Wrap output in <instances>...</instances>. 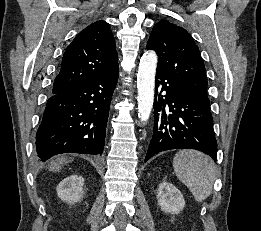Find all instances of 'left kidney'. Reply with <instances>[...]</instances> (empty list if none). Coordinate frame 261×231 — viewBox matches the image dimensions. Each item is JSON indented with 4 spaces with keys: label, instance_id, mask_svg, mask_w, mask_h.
<instances>
[{
    "label": "left kidney",
    "instance_id": "left-kidney-1",
    "mask_svg": "<svg viewBox=\"0 0 261 231\" xmlns=\"http://www.w3.org/2000/svg\"><path fill=\"white\" fill-rule=\"evenodd\" d=\"M157 199L158 205L165 213L178 214L185 206L181 192L168 182L159 185Z\"/></svg>",
    "mask_w": 261,
    "mask_h": 231
}]
</instances>
